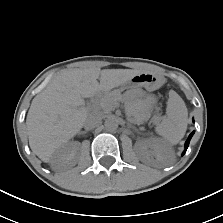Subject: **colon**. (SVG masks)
<instances>
[{
  "label": "colon",
  "mask_w": 223,
  "mask_h": 223,
  "mask_svg": "<svg viewBox=\"0 0 223 223\" xmlns=\"http://www.w3.org/2000/svg\"><path fill=\"white\" fill-rule=\"evenodd\" d=\"M180 154H181V155L184 154V150H183V148L180 149Z\"/></svg>",
  "instance_id": "5ec220e1"
}]
</instances>
